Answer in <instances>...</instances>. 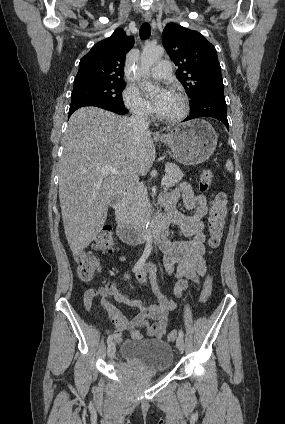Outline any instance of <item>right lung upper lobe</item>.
<instances>
[{"mask_svg":"<svg viewBox=\"0 0 285 424\" xmlns=\"http://www.w3.org/2000/svg\"><path fill=\"white\" fill-rule=\"evenodd\" d=\"M134 38L118 28L107 39L96 43L79 63L74 84L98 81H123L126 53Z\"/></svg>","mask_w":285,"mask_h":424,"instance_id":"obj_1","label":"right lung upper lobe"}]
</instances>
